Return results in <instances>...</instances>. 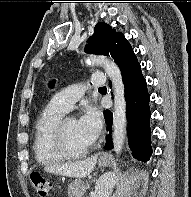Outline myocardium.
Here are the masks:
<instances>
[{
    "label": "myocardium",
    "instance_id": "obj_1",
    "mask_svg": "<svg viewBox=\"0 0 191 197\" xmlns=\"http://www.w3.org/2000/svg\"><path fill=\"white\" fill-rule=\"evenodd\" d=\"M70 118L71 117H63L59 120L53 131V143L57 151L65 159H80L87 155L92 146L89 145L88 147L84 148L79 152H74L69 149L66 143L65 125Z\"/></svg>",
    "mask_w": 191,
    "mask_h": 197
}]
</instances>
